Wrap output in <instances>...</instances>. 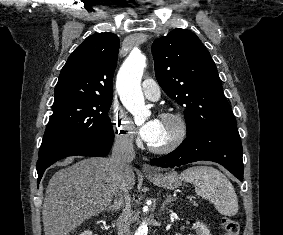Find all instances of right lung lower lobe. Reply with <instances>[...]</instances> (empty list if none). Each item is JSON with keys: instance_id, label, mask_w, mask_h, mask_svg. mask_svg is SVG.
I'll use <instances>...</instances> for the list:
<instances>
[{"instance_id": "1", "label": "right lung lower lobe", "mask_w": 283, "mask_h": 235, "mask_svg": "<svg viewBox=\"0 0 283 235\" xmlns=\"http://www.w3.org/2000/svg\"><path fill=\"white\" fill-rule=\"evenodd\" d=\"M114 140V133H107L88 139H77L65 143L51 150L37 162L38 182H40L44 171L54 162L74 155L103 157L109 152Z\"/></svg>"}]
</instances>
